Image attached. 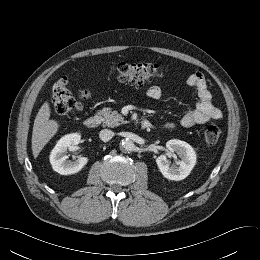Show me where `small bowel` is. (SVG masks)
I'll return each instance as SVG.
<instances>
[{"label":"small bowel","mask_w":260,"mask_h":260,"mask_svg":"<svg viewBox=\"0 0 260 260\" xmlns=\"http://www.w3.org/2000/svg\"><path fill=\"white\" fill-rule=\"evenodd\" d=\"M160 74H162V72ZM186 84L197 91L198 102L194 108L188 110L181 118L180 125L182 127L190 128L197 124H204L210 120L222 119L223 113L219 108L213 105L211 94L201 72H194L189 75ZM147 95L153 100H158L163 95L162 88L157 85L151 86L147 91ZM166 127L173 128L174 123H168Z\"/></svg>","instance_id":"obj_1"}]
</instances>
